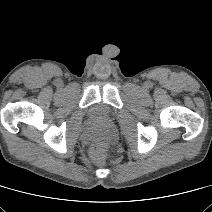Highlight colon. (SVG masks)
Returning a JSON list of instances; mask_svg holds the SVG:
<instances>
[{"mask_svg":"<svg viewBox=\"0 0 212 212\" xmlns=\"http://www.w3.org/2000/svg\"><path fill=\"white\" fill-rule=\"evenodd\" d=\"M105 148H106V143H105V140L102 138L94 142L92 145V151L96 155H102L105 151Z\"/></svg>","mask_w":212,"mask_h":212,"instance_id":"1","label":"colon"}]
</instances>
